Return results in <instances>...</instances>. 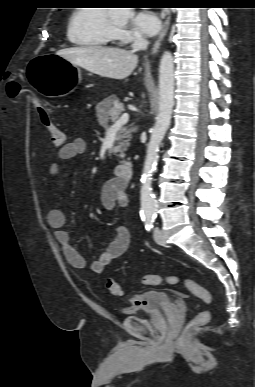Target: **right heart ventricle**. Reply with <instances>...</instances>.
I'll return each instance as SVG.
<instances>
[{"label": "right heart ventricle", "mask_w": 255, "mask_h": 387, "mask_svg": "<svg viewBox=\"0 0 255 387\" xmlns=\"http://www.w3.org/2000/svg\"><path fill=\"white\" fill-rule=\"evenodd\" d=\"M115 26L107 10L102 7H81L69 17L67 37L77 46L98 48L109 46L115 40Z\"/></svg>", "instance_id": "1"}]
</instances>
